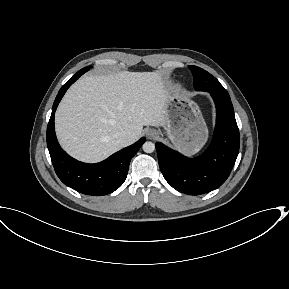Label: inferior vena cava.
Wrapping results in <instances>:
<instances>
[{
  "label": "inferior vena cava",
  "mask_w": 289,
  "mask_h": 289,
  "mask_svg": "<svg viewBox=\"0 0 289 289\" xmlns=\"http://www.w3.org/2000/svg\"><path fill=\"white\" fill-rule=\"evenodd\" d=\"M114 138L117 140V142L121 145H124L127 139L126 133L125 132H117L114 135Z\"/></svg>",
  "instance_id": "1"
}]
</instances>
